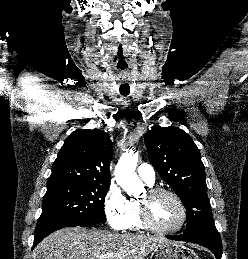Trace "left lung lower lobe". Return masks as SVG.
I'll return each instance as SVG.
<instances>
[{
    "instance_id": "obj_1",
    "label": "left lung lower lobe",
    "mask_w": 248,
    "mask_h": 259,
    "mask_svg": "<svg viewBox=\"0 0 248 259\" xmlns=\"http://www.w3.org/2000/svg\"><path fill=\"white\" fill-rule=\"evenodd\" d=\"M167 238L176 241H187L193 242L197 244H201L208 249H210L216 259H221L222 256V245H221V237L216 229L206 228L193 233H184L181 235L167 236Z\"/></svg>"
}]
</instances>
